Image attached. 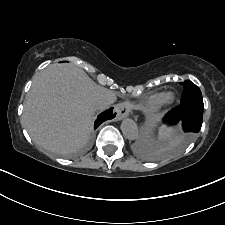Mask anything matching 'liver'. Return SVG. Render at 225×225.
I'll return each mask as SVG.
<instances>
[{"label": "liver", "instance_id": "6515ba94", "mask_svg": "<svg viewBox=\"0 0 225 225\" xmlns=\"http://www.w3.org/2000/svg\"><path fill=\"white\" fill-rule=\"evenodd\" d=\"M115 100L74 64H51L33 79L22 123L38 146L69 154L86 144L98 103Z\"/></svg>", "mask_w": 225, "mask_h": 225}]
</instances>
